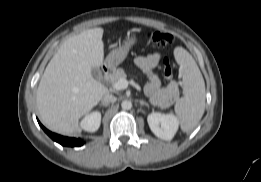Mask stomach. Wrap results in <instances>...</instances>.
I'll list each match as a JSON object with an SVG mask.
<instances>
[{
	"label": "stomach",
	"instance_id": "0dacf381",
	"mask_svg": "<svg viewBox=\"0 0 261 182\" xmlns=\"http://www.w3.org/2000/svg\"><path fill=\"white\" fill-rule=\"evenodd\" d=\"M137 42L136 36H128L124 41V44L114 50H112L105 60V66L111 70H114L120 63L124 61L129 50Z\"/></svg>",
	"mask_w": 261,
	"mask_h": 182
}]
</instances>
